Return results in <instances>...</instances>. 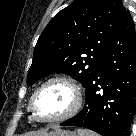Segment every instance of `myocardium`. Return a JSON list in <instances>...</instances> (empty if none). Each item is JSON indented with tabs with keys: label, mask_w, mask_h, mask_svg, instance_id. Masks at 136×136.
Masks as SVG:
<instances>
[{
	"label": "myocardium",
	"mask_w": 136,
	"mask_h": 136,
	"mask_svg": "<svg viewBox=\"0 0 136 136\" xmlns=\"http://www.w3.org/2000/svg\"><path fill=\"white\" fill-rule=\"evenodd\" d=\"M54 83H60L65 85L72 93V104L69 107V109L54 118H48V119H42L39 118L34 111V103H35V99L37 97V95L47 86L54 84ZM82 91L81 88L79 87V85L72 80L71 78L68 77H64V76H55V77H51L49 79H47L46 81H44L32 94L29 104H28V110L30 112V116L31 118L36 121V122H40V123H58V122H62L65 121L71 117H73L81 108L82 105Z\"/></svg>",
	"instance_id": "obj_1"
}]
</instances>
